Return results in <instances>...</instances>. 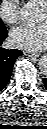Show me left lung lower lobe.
I'll list each match as a JSON object with an SVG mask.
<instances>
[{
    "label": "left lung lower lobe",
    "instance_id": "1",
    "mask_svg": "<svg viewBox=\"0 0 47 129\" xmlns=\"http://www.w3.org/2000/svg\"><path fill=\"white\" fill-rule=\"evenodd\" d=\"M44 84H45V87L47 89V78L44 79Z\"/></svg>",
    "mask_w": 47,
    "mask_h": 129
}]
</instances>
